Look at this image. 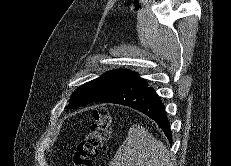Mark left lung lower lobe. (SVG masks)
I'll return each instance as SVG.
<instances>
[{"label": "left lung lower lobe", "instance_id": "0a47b994", "mask_svg": "<svg viewBox=\"0 0 231 166\" xmlns=\"http://www.w3.org/2000/svg\"><path fill=\"white\" fill-rule=\"evenodd\" d=\"M94 102L115 103L132 107L154 120L163 130L168 140L172 141L170 122L163 104L146 80L135 75L111 92L99 97Z\"/></svg>", "mask_w": 231, "mask_h": 166}]
</instances>
